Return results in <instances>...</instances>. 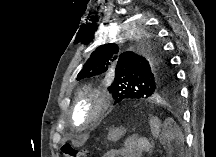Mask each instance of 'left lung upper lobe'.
Masks as SVG:
<instances>
[{"label": "left lung upper lobe", "instance_id": "5c2ea615", "mask_svg": "<svg viewBox=\"0 0 216 157\" xmlns=\"http://www.w3.org/2000/svg\"><path fill=\"white\" fill-rule=\"evenodd\" d=\"M150 27H124V35H112L96 48L77 80L106 72L115 74L108 90L116 102L152 100L177 95V77Z\"/></svg>", "mask_w": 216, "mask_h": 157}]
</instances>
